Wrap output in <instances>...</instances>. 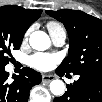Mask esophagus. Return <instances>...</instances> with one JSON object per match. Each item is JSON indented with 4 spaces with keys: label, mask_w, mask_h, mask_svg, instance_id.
I'll return each instance as SVG.
<instances>
[{
    "label": "esophagus",
    "mask_w": 102,
    "mask_h": 102,
    "mask_svg": "<svg viewBox=\"0 0 102 102\" xmlns=\"http://www.w3.org/2000/svg\"><path fill=\"white\" fill-rule=\"evenodd\" d=\"M55 77L53 75H43L42 76V82L48 84L49 82H51L52 80H54Z\"/></svg>",
    "instance_id": "esophagus-1"
}]
</instances>
